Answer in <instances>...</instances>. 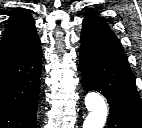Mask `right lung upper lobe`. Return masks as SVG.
Instances as JSON below:
<instances>
[{
    "mask_svg": "<svg viewBox=\"0 0 142 128\" xmlns=\"http://www.w3.org/2000/svg\"><path fill=\"white\" fill-rule=\"evenodd\" d=\"M39 41L32 16L20 8L13 14L0 43V63L31 49Z\"/></svg>",
    "mask_w": 142,
    "mask_h": 128,
    "instance_id": "cb5924a9",
    "label": "right lung upper lobe"
}]
</instances>
